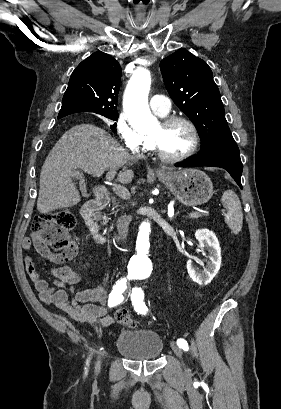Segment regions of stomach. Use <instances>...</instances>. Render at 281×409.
<instances>
[{
    "instance_id": "stomach-1",
    "label": "stomach",
    "mask_w": 281,
    "mask_h": 409,
    "mask_svg": "<svg viewBox=\"0 0 281 409\" xmlns=\"http://www.w3.org/2000/svg\"><path fill=\"white\" fill-rule=\"evenodd\" d=\"M161 182L177 196L183 205H204L213 194V184L208 174L198 168H181L175 172L157 174Z\"/></svg>"
}]
</instances>
